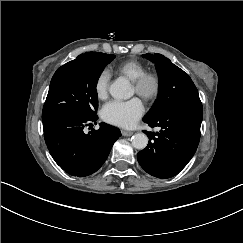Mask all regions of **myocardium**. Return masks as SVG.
I'll list each match as a JSON object with an SVG mask.
<instances>
[{"label":"myocardium","mask_w":243,"mask_h":243,"mask_svg":"<svg viewBox=\"0 0 243 243\" xmlns=\"http://www.w3.org/2000/svg\"><path fill=\"white\" fill-rule=\"evenodd\" d=\"M135 92L144 100L152 102L158 99L163 90V78L156 70H145L133 81Z\"/></svg>","instance_id":"obj_1"}]
</instances>
